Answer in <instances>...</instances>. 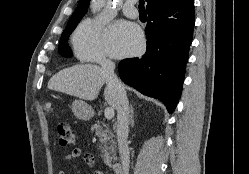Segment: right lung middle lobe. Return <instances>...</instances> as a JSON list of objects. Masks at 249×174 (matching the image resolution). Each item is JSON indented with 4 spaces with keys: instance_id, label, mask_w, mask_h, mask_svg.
<instances>
[{
    "instance_id": "dd1d6c3e",
    "label": "right lung middle lobe",
    "mask_w": 249,
    "mask_h": 174,
    "mask_svg": "<svg viewBox=\"0 0 249 174\" xmlns=\"http://www.w3.org/2000/svg\"><path fill=\"white\" fill-rule=\"evenodd\" d=\"M78 22L79 21L68 23L65 30L62 33L60 44L58 47V52L64 57L72 56L71 49L68 45V38H69V35L72 33V31L75 29Z\"/></svg>"
}]
</instances>
